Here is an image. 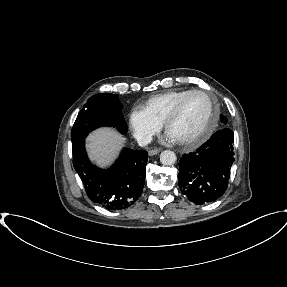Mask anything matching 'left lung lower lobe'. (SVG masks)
<instances>
[{
	"instance_id": "left-lung-lower-lobe-1",
	"label": "left lung lower lobe",
	"mask_w": 287,
	"mask_h": 287,
	"mask_svg": "<svg viewBox=\"0 0 287 287\" xmlns=\"http://www.w3.org/2000/svg\"><path fill=\"white\" fill-rule=\"evenodd\" d=\"M234 133L222 128L196 151L183 154L179 161V187L195 204L220 198L228 187L234 162Z\"/></svg>"
}]
</instances>
